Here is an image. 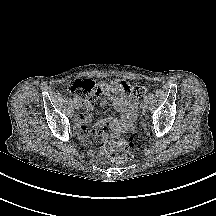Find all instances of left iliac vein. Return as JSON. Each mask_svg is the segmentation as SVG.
I'll return each mask as SVG.
<instances>
[{
    "label": "left iliac vein",
    "mask_w": 216,
    "mask_h": 216,
    "mask_svg": "<svg viewBox=\"0 0 216 216\" xmlns=\"http://www.w3.org/2000/svg\"><path fill=\"white\" fill-rule=\"evenodd\" d=\"M141 108H142V110H147V108H148V101L147 100L143 101L141 103Z\"/></svg>",
    "instance_id": "4c4485c4"
}]
</instances>
